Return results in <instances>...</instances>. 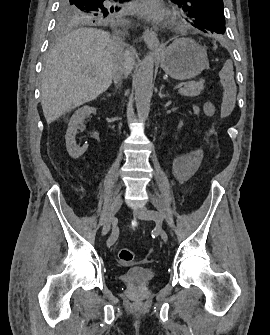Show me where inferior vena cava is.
<instances>
[{
    "label": "inferior vena cava",
    "mask_w": 270,
    "mask_h": 335,
    "mask_svg": "<svg viewBox=\"0 0 270 335\" xmlns=\"http://www.w3.org/2000/svg\"><path fill=\"white\" fill-rule=\"evenodd\" d=\"M115 38L116 40H118V42H120V44H123V46H126V44L122 42V38H119V36H115ZM126 76H128V70H127V66H125L124 64L123 68H117V70H115L114 76H113L114 84H119L122 78H126Z\"/></svg>",
    "instance_id": "obj_1"
}]
</instances>
